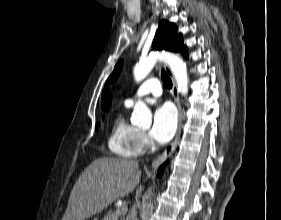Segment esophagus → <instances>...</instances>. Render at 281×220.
<instances>
[{
    "mask_svg": "<svg viewBox=\"0 0 281 220\" xmlns=\"http://www.w3.org/2000/svg\"><path fill=\"white\" fill-rule=\"evenodd\" d=\"M164 68H165L166 72L168 73V75L170 76L172 83H173L172 94L174 96V100H175V103H176V106L178 109V128H177V133H176L175 139L173 140V142L171 144H169L166 147V149L160 156H158L157 158H155L153 160L152 167H158L168 157L171 156V154L174 152V150L176 149V147L179 143L180 135H181V128H182V109H181V103H180V99H179L176 81H175V78H174V75H173L171 69L167 65H165Z\"/></svg>",
    "mask_w": 281,
    "mask_h": 220,
    "instance_id": "1",
    "label": "esophagus"
}]
</instances>
